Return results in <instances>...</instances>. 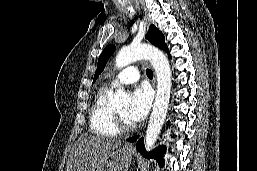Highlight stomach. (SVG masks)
<instances>
[{
	"instance_id": "0dacf381",
	"label": "stomach",
	"mask_w": 257,
	"mask_h": 171,
	"mask_svg": "<svg viewBox=\"0 0 257 171\" xmlns=\"http://www.w3.org/2000/svg\"><path fill=\"white\" fill-rule=\"evenodd\" d=\"M131 160V151L126 149H118L109 153L102 160L96 171H128Z\"/></svg>"
}]
</instances>
